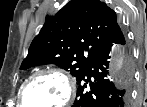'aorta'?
I'll return each mask as SVG.
<instances>
[{
	"label": "aorta",
	"mask_w": 147,
	"mask_h": 107,
	"mask_svg": "<svg viewBox=\"0 0 147 107\" xmlns=\"http://www.w3.org/2000/svg\"><path fill=\"white\" fill-rule=\"evenodd\" d=\"M130 74L129 54L117 47L109 64V76L115 85L120 84Z\"/></svg>",
	"instance_id": "aorta-1"
}]
</instances>
